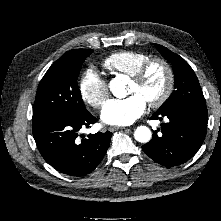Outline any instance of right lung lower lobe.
Segmentation results:
<instances>
[{
    "instance_id": "obj_1",
    "label": "right lung lower lobe",
    "mask_w": 221,
    "mask_h": 221,
    "mask_svg": "<svg viewBox=\"0 0 221 221\" xmlns=\"http://www.w3.org/2000/svg\"><path fill=\"white\" fill-rule=\"evenodd\" d=\"M97 119L88 111L33 123V136L43 158L60 172L83 176L92 172L107 152L112 133L97 132L79 140L78 131Z\"/></svg>"
}]
</instances>
